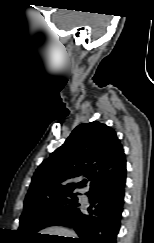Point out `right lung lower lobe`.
<instances>
[{
    "instance_id": "obj_1",
    "label": "right lung lower lobe",
    "mask_w": 154,
    "mask_h": 243,
    "mask_svg": "<svg viewBox=\"0 0 154 243\" xmlns=\"http://www.w3.org/2000/svg\"><path fill=\"white\" fill-rule=\"evenodd\" d=\"M126 166L99 181L87 194L90 207L62 219L58 225L72 227L79 238L67 243H116L124 203Z\"/></svg>"
}]
</instances>
